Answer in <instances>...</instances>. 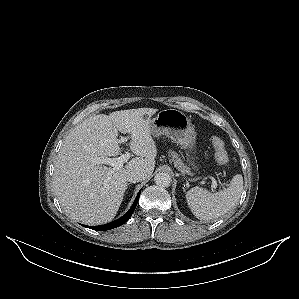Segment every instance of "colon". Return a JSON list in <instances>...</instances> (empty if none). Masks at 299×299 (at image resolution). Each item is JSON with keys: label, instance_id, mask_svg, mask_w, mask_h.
<instances>
[{"label": "colon", "instance_id": "5ec220e1", "mask_svg": "<svg viewBox=\"0 0 299 299\" xmlns=\"http://www.w3.org/2000/svg\"><path fill=\"white\" fill-rule=\"evenodd\" d=\"M211 144L214 149L215 159L219 165H226L228 163V153L225 148L224 141L217 136L211 138Z\"/></svg>", "mask_w": 299, "mask_h": 299}]
</instances>
